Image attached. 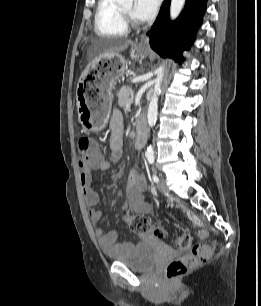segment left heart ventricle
Returning <instances> with one entry per match:
<instances>
[{"label":"left heart ventricle","instance_id":"b2bd125f","mask_svg":"<svg viewBox=\"0 0 261 306\" xmlns=\"http://www.w3.org/2000/svg\"><path fill=\"white\" fill-rule=\"evenodd\" d=\"M122 8L129 13L130 15L133 16L132 11H133V2H128L127 4L123 5Z\"/></svg>","mask_w":261,"mask_h":306}]
</instances>
